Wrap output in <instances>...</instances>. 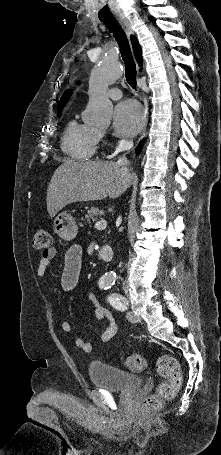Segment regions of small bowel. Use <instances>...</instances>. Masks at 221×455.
Masks as SVG:
<instances>
[{
    "mask_svg": "<svg viewBox=\"0 0 221 455\" xmlns=\"http://www.w3.org/2000/svg\"><path fill=\"white\" fill-rule=\"evenodd\" d=\"M56 253L57 251L55 248H50L42 252L38 266L36 268V275L38 277L43 278L46 276L47 268L51 260L55 257ZM82 266V248L78 245L71 246L65 254L64 268L61 277V284L65 291H72L76 287ZM88 299L95 309L97 319L106 320L108 322V327L99 336V340L101 342H108L116 335L118 330L114 318L111 312L99 303L97 296L94 293H90L88 295ZM61 329L64 332H69L71 331V324L67 321H64L61 323ZM75 345L78 348L82 349L84 352H91L93 349L92 342L83 338H76Z\"/></svg>",
    "mask_w": 221,
    "mask_h": 455,
    "instance_id": "small-bowel-1",
    "label": "small bowel"
}]
</instances>
